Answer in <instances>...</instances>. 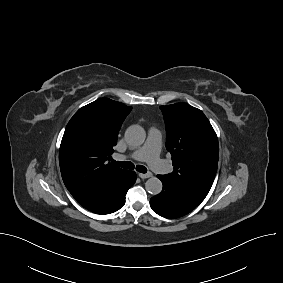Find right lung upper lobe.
<instances>
[{
	"label": "right lung upper lobe",
	"instance_id": "1",
	"mask_svg": "<svg viewBox=\"0 0 283 283\" xmlns=\"http://www.w3.org/2000/svg\"><path fill=\"white\" fill-rule=\"evenodd\" d=\"M131 109L100 98L80 108L69 121L60 145L59 164L65 186L82 206L92 204L127 173L109 161Z\"/></svg>",
	"mask_w": 283,
	"mask_h": 283
}]
</instances>
